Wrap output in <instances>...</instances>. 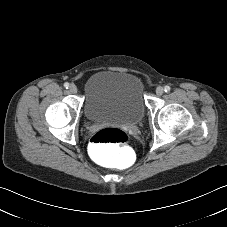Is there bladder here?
Segmentation results:
<instances>
[{
    "instance_id": "bladder-1",
    "label": "bladder",
    "mask_w": 227,
    "mask_h": 227,
    "mask_svg": "<svg viewBox=\"0 0 227 227\" xmlns=\"http://www.w3.org/2000/svg\"><path fill=\"white\" fill-rule=\"evenodd\" d=\"M83 90L89 122L134 125L144 117V87L137 74L99 71L87 78Z\"/></svg>"
}]
</instances>
